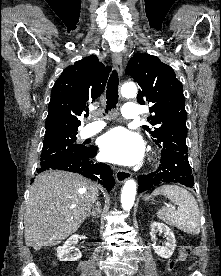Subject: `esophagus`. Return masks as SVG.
Returning <instances> with one entry per match:
<instances>
[{
    "instance_id": "34e87169",
    "label": "esophagus",
    "mask_w": 221,
    "mask_h": 276,
    "mask_svg": "<svg viewBox=\"0 0 221 276\" xmlns=\"http://www.w3.org/2000/svg\"><path fill=\"white\" fill-rule=\"evenodd\" d=\"M112 60L114 67L120 77L123 75V65H122V56L120 53H114L112 55ZM130 178V173L126 170L119 169L116 172V180L119 183L125 182L127 179Z\"/></svg>"
}]
</instances>
